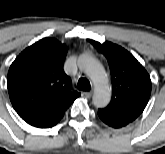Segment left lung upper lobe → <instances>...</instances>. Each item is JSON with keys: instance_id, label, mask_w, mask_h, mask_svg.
<instances>
[{"instance_id": "obj_1", "label": "left lung upper lobe", "mask_w": 165, "mask_h": 154, "mask_svg": "<svg viewBox=\"0 0 165 154\" xmlns=\"http://www.w3.org/2000/svg\"><path fill=\"white\" fill-rule=\"evenodd\" d=\"M88 41L106 57L111 73L112 99L98 113L127 124L132 122L143 112L151 94V80L147 71L124 48L108 41L103 44Z\"/></svg>"}]
</instances>
